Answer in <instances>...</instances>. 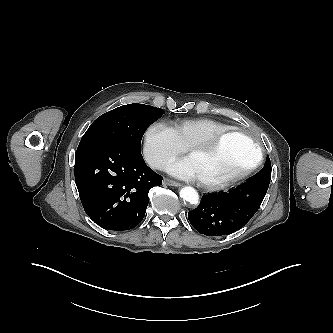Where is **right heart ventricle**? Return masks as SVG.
<instances>
[{"label":"right heart ventricle","instance_id":"right-heart-ventricle-1","mask_svg":"<svg viewBox=\"0 0 333 333\" xmlns=\"http://www.w3.org/2000/svg\"><path fill=\"white\" fill-rule=\"evenodd\" d=\"M171 128L180 143L188 148L194 142L209 138L232 127L210 118H193L178 120L172 124Z\"/></svg>","mask_w":333,"mask_h":333}]
</instances>
